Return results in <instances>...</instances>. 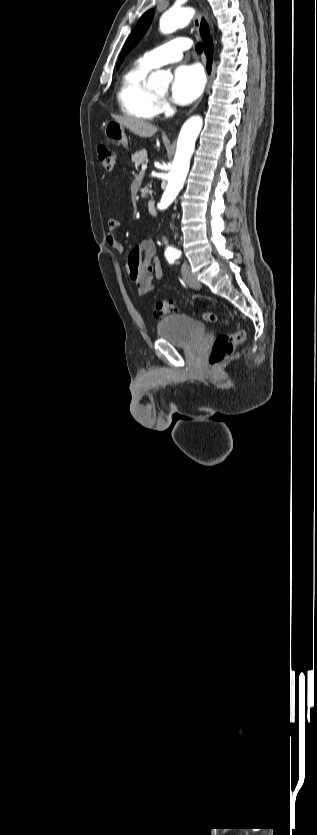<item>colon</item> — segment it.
<instances>
[{
	"label": "colon",
	"instance_id": "1",
	"mask_svg": "<svg viewBox=\"0 0 317 835\" xmlns=\"http://www.w3.org/2000/svg\"><path fill=\"white\" fill-rule=\"evenodd\" d=\"M98 157L102 167L106 171H112L115 166V154L105 145L98 147ZM146 273L151 272V265L144 264L142 267ZM175 311V305L171 300H159L155 304V316H164ZM201 318L210 323H216L220 320L219 316L213 312H203ZM246 333L244 330H239L231 334L218 335L211 347L209 353V364L217 366L223 363L233 352L235 346L245 339Z\"/></svg>",
	"mask_w": 317,
	"mask_h": 835
}]
</instances>
